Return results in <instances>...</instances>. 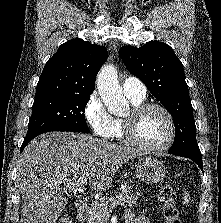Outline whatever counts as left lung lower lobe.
I'll list each match as a JSON object with an SVG mask.
<instances>
[{"label":"left lung lower lobe","instance_id":"left-lung-lower-lobe-1","mask_svg":"<svg viewBox=\"0 0 221 223\" xmlns=\"http://www.w3.org/2000/svg\"><path fill=\"white\" fill-rule=\"evenodd\" d=\"M169 153L193 160L200 167V169L203 171L201 152H175L174 153V152L169 151Z\"/></svg>","mask_w":221,"mask_h":223}]
</instances>
